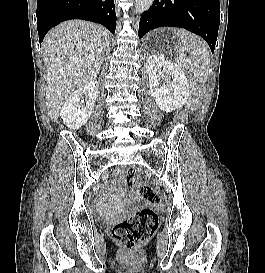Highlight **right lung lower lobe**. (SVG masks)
I'll list each match as a JSON object with an SVG mask.
<instances>
[{"instance_id": "1", "label": "right lung lower lobe", "mask_w": 265, "mask_h": 273, "mask_svg": "<svg viewBox=\"0 0 265 273\" xmlns=\"http://www.w3.org/2000/svg\"><path fill=\"white\" fill-rule=\"evenodd\" d=\"M70 19H83L116 28L114 0H37V28L40 44L54 26Z\"/></svg>"}]
</instances>
